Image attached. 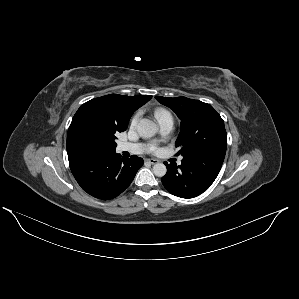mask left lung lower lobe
I'll list each match as a JSON object with an SVG mask.
<instances>
[{
    "label": "left lung lower lobe",
    "instance_id": "obj_1",
    "mask_svg": "<svg viewBox=\"0 0 299 299\" xmlns=\"http://www.w3.org/2000/svg\"><path fill=\"white\" fill-rule=\"evenodd\" d=\"M226 150H201L183 157L182 164H168L167 173L162 177L164 187L173 195L181 198H193L210 187L214 182Z\"/></svg>",
    "mask_w": 299,
    "mask_h": 299
}]
</instances>
